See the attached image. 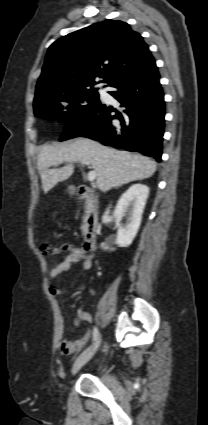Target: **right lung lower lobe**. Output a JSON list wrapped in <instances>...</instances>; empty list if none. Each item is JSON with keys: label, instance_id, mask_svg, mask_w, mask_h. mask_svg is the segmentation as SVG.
<instances>
[{"label": "right lung lower lobe", "instance_id": "right-lung-lower-lobe-1", "mask_svg": "<svg viewBox=\"0 0 208 425\" xmlns=\"http://www.w3.org/2000/svg\"><path fill=\"white\" fill-rule=\"evenodd\" d=\"M159 79L151 53L121 70L108 86L117 88L109 93L125 110L117 112L113 107L101 104L80 114L67 122L60 141L88 137L106 146L154 157L160 162L165 102Z\"/></svg>", "mask_w": 208, "mask_h": 425}]
</instances>
